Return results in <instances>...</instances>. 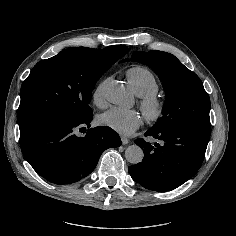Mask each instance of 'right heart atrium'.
Returning a JSON list of instances; mask_svg holds the SVG:
<instances>
[{
	"label": "right heart atrium",
	"mask_w": 236,
	"mask_h": 236,
	"mask_svg": "<svg viewBox=\"0 0 236 236\" xmlns=\"http://www.w3.org/2000/svg\"><path fill=\"white\" fill-rule=\"evenodd\" d=\"M106 81L101 82L93 92V100L96 104H100L103 99V87Z\"/></svg>",
	"instance_id": "obj_1"
}]
</instances>
